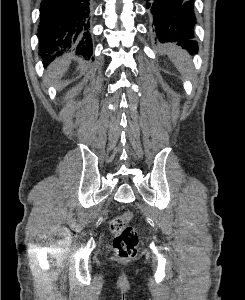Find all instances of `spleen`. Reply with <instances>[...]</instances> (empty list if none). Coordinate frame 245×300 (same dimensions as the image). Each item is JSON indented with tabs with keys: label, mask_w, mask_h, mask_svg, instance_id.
Instances as JSON below:
<instances>
[{
	"label": "spleen",
	"mask_w": 245,
	"mask_h": 300,
	"mask_svg": "<svg viewBox=\"0 0 245 300\" xmlns=\"http://www.w3.org/2000/svg\"><path fill=\"white\" fill-rule=\"evenodd\" d=\"M169 57L171 61L174 63V65L177 67V69L180 71V73L183 76H187L190 69V63L186 53L179 50L171 51L169 53Z\"/></svg>",
	"instance_id": "obj_1"
}]
</instances>
